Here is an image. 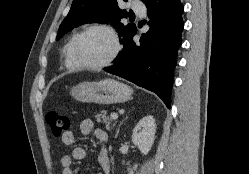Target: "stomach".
Segmentation results:
<instances>
[{
	"label": "stomach",
	"mask_w": 249,
	"mask_h": 174,
	"mask_svg": "<svg viewBox=\"0 0 249 174\" xmlns=\"http://www.w3.org/2000/svg\"><path fill=\"white\" fill-rule=\"evenodd\" d=\"M132 89L114 79L82 82L74 86L70 94L78 101L98 104L123 103L130 99Z\"/></svg>",
	"instance_id": "stomach-1"
}]
</instances>
